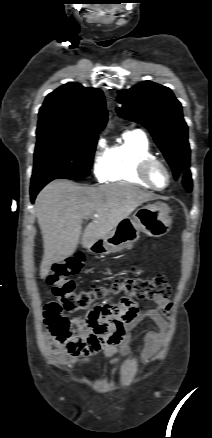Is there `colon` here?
<instances>
[{"label":"colon","mask_w":212,"mask_h":438,"mask_svg":"<svg viewBox=\"0 0 212 438\" xmlns=\"http://www.w3.org/2000/svg\"><path fill=\"white\" fill-rule=\"evenodd\" d=\"M83 266V256L75 254L55 264L47 278L58 299L46 305L45 323L56 335H66L70 330L66 313L86 310L108 294L123 295L128 299L154 300L157 297L167 298L173 289L167 276L157 275L151 279L124 277L109 287L94 286L76 292L75 282L70 277L79 273Z\"/></svg>","instance_id":"1"}]
</instances>
